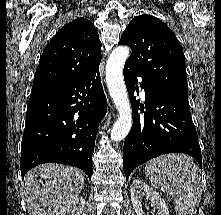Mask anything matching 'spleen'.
Listing matches in <instances>:
<instances>
[{"mask_svg": "<svg viewBox=\"0 0 221 215\" xmlns=\"http://www.w3.org/2000/svg\"><path fill=\"white\" fill-rule=\"evenodd\" d=\"M145 173L155 188L174 197L176 215H196L202 195L201 175L189 156L167 154L155 158L145 166Z\"/></svg>", "mask_w": 221, "mask_h": 215, "instance_id": "spleen-1", "label": "spleen"}]
</instances>
